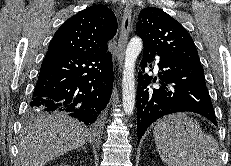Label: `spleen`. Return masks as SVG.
I'll use <instances>...</instances> for the list:
<instances>
[{"mask_svg":"<svg viewBox=\"0 0 231 166\" xmlns=\"http://www.w3.org/2000/svg\"><path fill=\"white\" fill-rule=\"evenodd\" d=\"M153 136L158 153L168 166H222L217 141L184 113L159 119Z\"/></svg>","mask_w":231,"mask_h":166,"instance_id":"3e777b00","label":"spleen"}]
</instances>
